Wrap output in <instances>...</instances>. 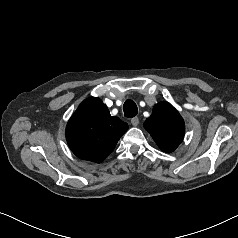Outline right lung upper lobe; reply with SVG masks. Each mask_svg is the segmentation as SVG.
Wrapping results in <instances>:
<instances>
[{
    "label": "right lung upper lobe",
    "instance_id": "cb5924a9",
    "mask_svg": "<svg viewBox=\"0 0 238 238\" xmlns=\"http://www.w3.org/2000/svg\"><path fill=\"white\" fill-rule=\"evenodd\" d=\"M127 129V123L112 117L99 98L91 97L80 104L68 121L66 139L78 158L100 163Z\"/></svg>",
    "mask_w": 238,
    "mask_h": 238
}]
</instances>
